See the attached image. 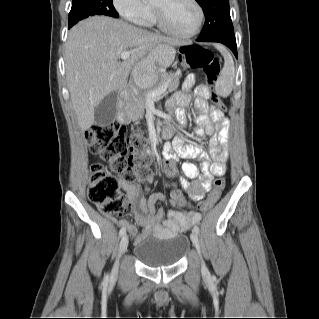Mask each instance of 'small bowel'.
<instances>
[{"label": "small bowel", "instance_id": "c3829d8e", "mask_svg": "<svg viewBox=\"0 0 319 319\" xmlns=\"http://www.w3.org/2000/svg\"><path fill=\"white\" fill-rule=\"evenodd\" d=\"M197 81L196 74H189L183 81L180 90L175 93L169 101V105H178L177 116L186 124L187 117L185 108L189 106L192 95H195L194 106L197 111L195 135L197 139L210 136V152L214 159L209 163L205 159L202 147L197 144H184L182 138H176L172 147L165 148L168 161L165 164L167 175L176 174L175 161L178 157L198 158L202 176L195 164L185 162L182 164V171L185 177L180 178V186L187 193L188 197L199 202L204 199L211 188V180L214 176H222L226 173V158L228 145L229 119L221 109L209 107L206 102L207 89L199 84L194 86ZM151 178L142 179L139 182H126L119 179L120 188L127 195L129 205H134L135 222L143 228L141 234H137L135 225L124 219H113L122 228H125L136 241L142 240L150 232L158 235H169L184 232L191 225L201 220V214L194 210L168 211L166 218L162 210H156L158 201H169L172 206H179L172 198H167L163 193H154L149 198H145L141 188V182L149 183Z\"/></svg>", "mask_w": 319, "mask_h": 319}]
</instances>
